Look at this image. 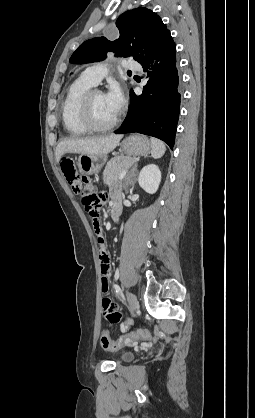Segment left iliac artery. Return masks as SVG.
Returning a JSON list of instances; mask_svg holds the SVG:
<instances>
[{
	"label": "left iliac artery",
	"mask_w": 255,
	"mask_h": 418,
	"mask_svg": "<svg viewBox=\"0 0 255 418\" xmlns=\"http://www.w3.org/2000/svg\"><path fill=\"white\" fill-rule=\"evenodd\" d=\"M114 289H115L116 293L120 294L121 289L117 284H114Z\"/></svg>",
	"instance_id": "obj_1"
}]
</instances>
